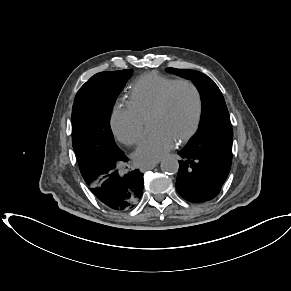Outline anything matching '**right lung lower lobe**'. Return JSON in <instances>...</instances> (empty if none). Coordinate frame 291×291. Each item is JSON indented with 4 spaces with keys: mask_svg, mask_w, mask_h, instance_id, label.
Instances as JSON below:
<instances>
[{
    "mask_svg": "<svg viewBox=\"0 0 291 291\" xmlns=\"http://www.w3.org/2000/svg\"><path fill=\"white\" fill-rule=\"evenodd\" d=\"M128 161L123 155L118 160L97 164L93 168L80 169L95 197L108 208L124 211L134 207L143 194V173L138 169L122 173L120 164Z\"/></svg>",
    "mask_w": 291,
    "mask_h": 291,
    "instance_id": "98d812e1",
    "label": "right lung lower lobe"
}]
</instances>
